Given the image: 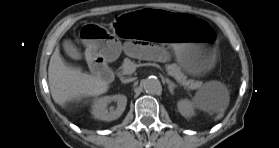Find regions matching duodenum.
I'll return each mask as SVG.
<instances>
[{"instance_id": "duodenum-1", "label": "duodenum", "mask_w": 279, "mask_h": 148, "mask_svg": "<svg viewBox=\"0 0 279 148\" xmlns=\"http://www.w3.org/2000/svg\"><path fill=\"white\" fill-rule=\"evenodd\" d=\"M90 68L96 74H99L104 79H109L111 71L107 62L100 57H93L90 59Z\"/></svg>"}]
</instances>
